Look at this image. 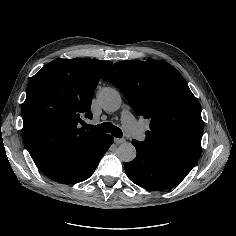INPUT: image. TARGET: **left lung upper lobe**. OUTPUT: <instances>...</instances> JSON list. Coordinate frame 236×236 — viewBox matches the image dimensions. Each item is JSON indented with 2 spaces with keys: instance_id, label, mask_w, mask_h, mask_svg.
<instances>
[{
  "instance_id": "1",
  "label": "left lung upper lobe",
  "mask_w": 236,
  "mask_h": 236,
  "mask_svg": "<svg viewBox=\"0 0 236 236\" xmlns=\"http://www.w3.org/2000/svg\"><path fill=\"white\" fill-rule=\"evenodd\" d=\"M102 78L121 90L136 115L150 121L141 143L191 170L201 155L204 128L199 102L179 71L164 61H121Z\"/></svg>"
}]
</instances>
